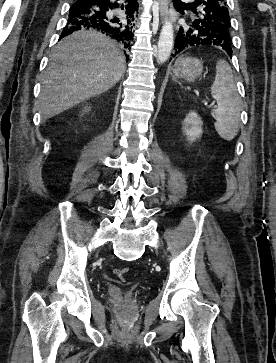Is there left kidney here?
<instances>
[{"label": "left kidney", "instance_id": "1", "mask_svg": "<svg viewBox=\"0 0 276 363\" xmlns=\"http://www.w3.org/2000/svg\"><path fill=\"white\" fill-rule=\"evenodd\" d=\"M203 122L196 112L191 111L184 120V131L190 142L196 141L202 134Z\"/></svg>", "mask_w": 276, "mask_h": 363}]
</instances>
